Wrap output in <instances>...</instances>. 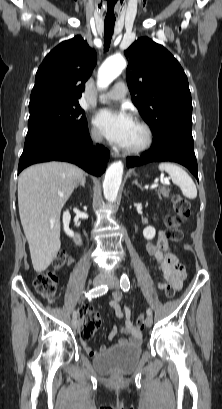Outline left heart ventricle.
Returning a JSON list of instances; mask_svg holds the SVG:
<instances>
[{
  "label": "left heart ventricle",
  "instance_id": "obj_1",
  "mask_svg": "<svg viewBox=\"0 0 222 409\" xmlns=\"http://www.w3.org/2000/svg\"><path fill=\"white\" fill-rule=\"evenodd\" d=\"M144 140L142 129L134 123L130 132L126 147H135L140 145Z\"/></svg>",
  "mask_w": 222,
  "mask_h": 409
}]
</instances>
